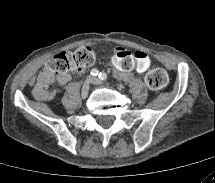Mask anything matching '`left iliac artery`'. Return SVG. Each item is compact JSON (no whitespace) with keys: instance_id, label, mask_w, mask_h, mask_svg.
<instances>
[{"instance_id":"1","label":"left iliac artery","mask_w":215,"mask_h":183,"mask_svg":"<svg viewBox=\"0 0 215 183\" xmlns=\"http://www.w3.org/2000/svg\"><path fill=\"white\" fill-rule=\"evenodd\" d=\"M98 76H99V78L101 80H106L107 79V74L105 72H100Z\"/></svg>"}]
</instances>
